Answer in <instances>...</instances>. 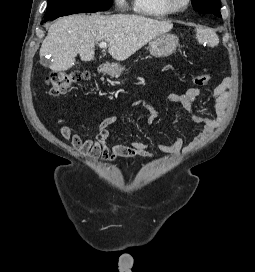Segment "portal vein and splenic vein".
<instances>
[{
	"mask_svg": "<svg viewBox=\"0 0 255 272\" xmlns=\"http://www.w3.org/2000/svg\"><path fill=\"white\" fill-rule=\"evenodd\" d=\"M99 47L100 48H106L107 47V43L104 42V41H102V42L99 43Z\"/></svg>",
	"mask_w": 255,
	"mask_h": 272,
	"instance_id": "1",
	"label": "portal vein and splenic vein"
}]
</instances>
